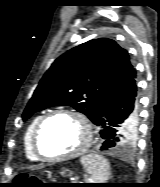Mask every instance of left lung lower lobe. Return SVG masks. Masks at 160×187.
Instances as JSON below:
<instances>
[{"instance_id": "0a47b994", "label": "left lung lower lobe", "mask_w": 160, "mask_h": 187, "mask_svg": "<svg viewBox=\"0 0 160 187\" xmlns=\"http://www.w3.org/2000/svg\"><path fill=\"white\" fill-rule=\"evenodd\" d=\"M137 75L135 69L130 77L102 102L94 124L100 129L103 142L101 150L129 146L122 144L135 129L138 122Z\"/></svg>"}]
</instances>
